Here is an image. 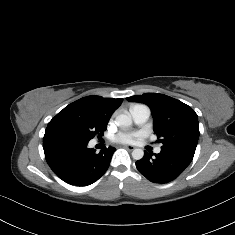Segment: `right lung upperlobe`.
Returning <instances> with one entry per match:
<instances>
[{
	"instance_id": "obj_1",
	"label": "right lung upper lobe",
	"mask_w": 235,
	"mask_h": 235,
	"mask_svg": "<svg viewBox=\"0 0 235 235\" xmlns=\"http://www.w3.org/2000/svg\"><path fill=\"white\" fill-rule=\"evenodd\" d=\"M122 99L113 98H103L101 96H87L83 97L68 106H66L62 111H60L49 123L47 130L58 128V121L67 114L82 112V111H94L102 114L106 118H110L112 113L117 109L121 103Z\"/></svg>"
}]
</instances>
